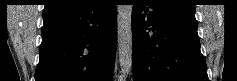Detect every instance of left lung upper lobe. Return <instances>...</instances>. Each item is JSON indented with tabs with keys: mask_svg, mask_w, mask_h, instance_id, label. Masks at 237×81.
I'll list each match as a JSON object with an SVG mask.
<instances>
[{
	"mask_svg": "<svg viewBox=\"0 0 237 81\" xmlns=\"http://www.w3.org/2000/svg\"><path fill=\"white\" fill-rule=\"evenodd\" d=\"M159 1L173 7L195 12V5L193 0H159Z\"/></svg>",
	"mask_w": 237,
	"mask_h": 81,
	"instance_id": "5c2ea615",
	"label": "left lung upper lobe"
}]
</instances>
